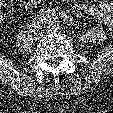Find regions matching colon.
Segmentation results:
<instances>
[{
    "label": "colon",
    "instance_id": "colon-1",
    "mask_svg": "<svg viewBox=\"0 0 113 113\" xmlns=\"http://www.w3.org/2000/svg\"><path fill=\"white\" fill-rule=\"evenodd\" d=\"M9 1V0H7ZM29 1H33V0H29ZM37 1V0H36ZM0 23H2V14H1V7H0Z\"/></svg>",
    "mask_w": 113,
    "mask_h": 113
}]
</instances>
